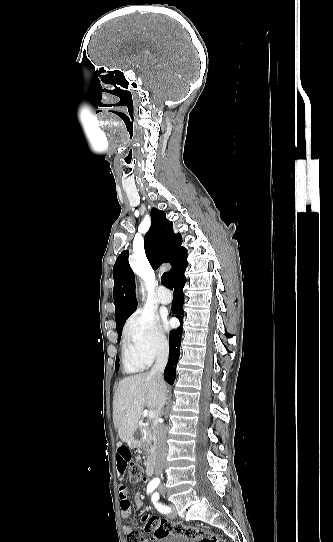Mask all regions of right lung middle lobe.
Returning a JSON list of instances; mask_svg holds the SVG:
<instances>
[{"mask_svg":"<svg viewBox=\"0 0 333 542\" xmlns=\"http://www.w3.org/2000/svg\"><path fill=\"white\" fill-rule=\"evenodd\" d=\"M129 316H130V315H129ZM129 316H127L126 319H125L121 324H119V327L116 328V329H117V333H118V337H119V342H120V338H121V333H122L123 325H124L125 321L127 320V318H128ZM115 369H116V371L119 370V358H118V357L116 358Z\"/></svg>","mask_w":333,"mask_h":542,"instance_id":"1","label":"right lung middle lobe"}]
</instances>
